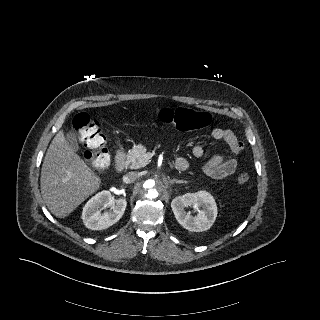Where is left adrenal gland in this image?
Masks as SVG:
<instances>
[{
    "label": "left adrenal gland",
    "instance_id": "obj_1",
    "mask_svg": "<svg viewBox=\"0 0 320 320\" xmlns=\"http://www.w3.org/2000/svg\"><path fill=\"white\" fill-rule=\"evenodd\" d=\"M169 182H170L171 184H174V183H187V182L184 181V180H177V179L170 180Z\"/></svg>",
    "mask_w": 320,
    "mask_h": 320
}]
</instances>
